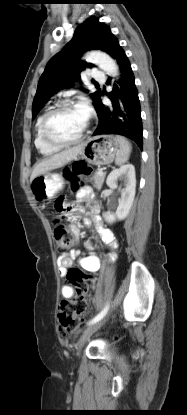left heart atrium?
<instances>
[{
	"label": "left heart atrium",
	"mask_w": 187,
	"mask_h": 415,
	"mask_svg": "<svg viewBox=\"0 0 187 415\" xmlns=\"http://www.w3.org/2000/svg\"><path fill=\"white\" fill-rule=\"evenodd\" d=\"M76 109L78 110V112L87 120L89 115H90V107L87 104L86 101H81Z\"/></svg>",
	"instance_id": "obj_1"
}]
</instances>
